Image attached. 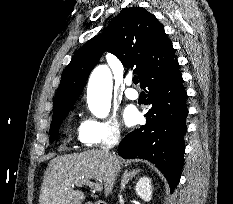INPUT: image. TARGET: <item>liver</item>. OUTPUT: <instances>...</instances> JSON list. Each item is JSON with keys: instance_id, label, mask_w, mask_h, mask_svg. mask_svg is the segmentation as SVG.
<instances>
[{"instance_id": "liver-1", "label": "liver", "mask_w": 233, "mask_h": 204, "mask_svg": "<svg viewBox=\"0 0 233 204\" xmlns=\"http://www.w3.org/2000/svg\"><path fill=\"white\" fill-rule=\"evenodd\" d=\"M120 169L119 158L115 154L107 156L102 150L57 156L49 162L44 174L39 204H81L84 192L72 187L81 179L102 184L107 197Z\"/></svg>"}]
</instances>
